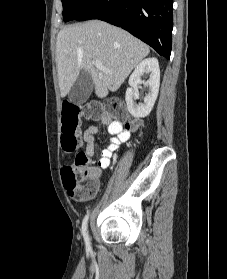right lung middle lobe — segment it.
<instances>
[{
    "label": "right lung middle lobe",
    "instance_id": "dd1d6c3e",
    "mask_svg": "<svg viewBox=\"0 0 227 279\" xmlns=\"http://www.w3.org/2000/svg\"><path fill=\"white\" fill-rule=\"evenodd\" d=\"M92 0H62L64 21L78 17Z\"/></svg>",
    "mask_w": 227,
    "mask_h": 279
}]
</instances>
